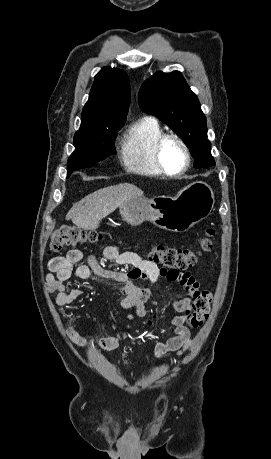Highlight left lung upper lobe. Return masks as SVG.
Returning a JSON list of instances; mask_svg holds the SVG:
<instances>
[{"label": "left lung upper lobe", "mask_w": 271, "mask_h": 459, "mask_svg": "<svg viewBox=\"0 0 271 459\" xmlns=\"http://www.w3.org/2000/svg\"><path fill=\"white\" fill-rule=\"evenodd\" d=\"M138 101L143 111L161 119L189 146L195 168L215 165L205 115L180 72L155 73L142 84Z\"/></svg>", "instance_id": "left-lung-upper-lobe-1"}]
</instances>
